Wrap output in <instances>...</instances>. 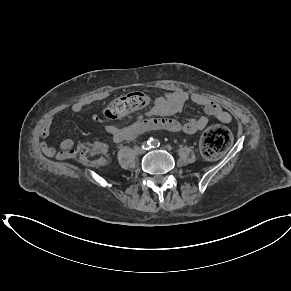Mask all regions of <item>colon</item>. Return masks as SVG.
I'll list each match as a JSON object with an SVG mask.
<instances>
[{
  "mask_svg": "<svg viewBox=\"0 0 291 291\" xmlns=\"http://www.w3.org/2000/svg\"><path fill=\"white\" fill-rule=\"evenodd\" d=\"M150 98L143 92H132L113 100L105 109V116L109 120H117L125 115L146 108ZM232 137L229 130L222 125H213L203 134L200 149L207 158L221 156L231 145ZM79 160L92 166H101L106 163L105 153L95 143H86L78 149Z\"/></svg>",
  "mask_w": 291,
  "mask_h": 291,
  "instance_id": "5ec220e1",
  "label": "colon"
}]
</instances>
